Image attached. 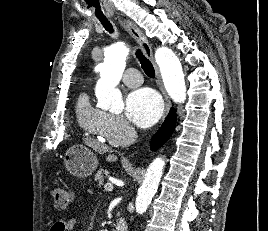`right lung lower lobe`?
<instances>
[{
	"label": "right lung lower lobe",
	"instance_id": "obj_1",
	"mask_svg": "<svg viewBox=\"0 0 268 231\" xmlns=\"http://www.w3.org/2000/svg\"><path fill=\"white\" fill-rule=\"evenodd\" d=\"M176 124V113L172 108L165 119L163 125L152 138L151 149L153 151L160 148L172 135Z\"/></svg>",
	"mask_w": 268,
	"mask_h": 231
}]
</instances>
